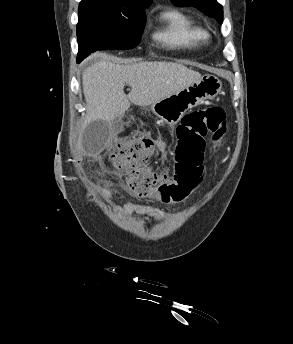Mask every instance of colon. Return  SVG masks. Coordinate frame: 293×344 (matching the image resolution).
Listing matches in <instances>:
<instances>
[{
    "mask_svg": "<svg viewBox=\"0 0 293 344\" xmlns=\"http://www.w3.org/2000/svg\"><path fill=\"white\" fill-rule=\"evenodd\" d=\"M226 133L225 111L212 105L187 113L176 129L173 147L175 173L163 179L151 171L154 142L147 137L134 138L115 146L109 153L113 169L125 174L127 190L137 198L177 203L187 198L200 182L197 170L203 166L207 137L219 146Z\"/></svg>",
    "mask_w": 293,
    "mask_h": 344,
    "instance_id": "obj_1",
    "label": "colon"
}]
</instances>
